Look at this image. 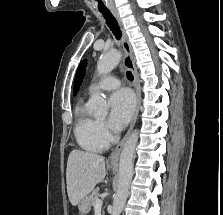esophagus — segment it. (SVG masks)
<instances>
[{"mask_svg":"<svg viewBox=\"0 0 223 215\" xmlns=\"http://www.w3.org/2000/svg\"><path fill=\"white\" fill-rule=\"evenodd\" d=\"M110 10L113 13L115 19L117 20L118 25L122 32V46H123V51H124L123 65L125 68H128V70H131L132 74L134 75V85L136 89V108H135V112H134L130 127L127 133L124 135V137L120 141V143H118V145L114 148V150L112 151L109 157L108 164L111 167H113V166L118 165L120 152L124 146L125 141L127 140L128 136L130 135L135 125V122L139 113L140 103H141V89H140V80H139L138 72L135 67L132 46L129 42V38L126 32V29L124 27V23L116 9L111 8Z\"/></svg>","mask_w":223,"mask_h":215,"instance_id":"1","label":"esophagus"}]
</instances>
